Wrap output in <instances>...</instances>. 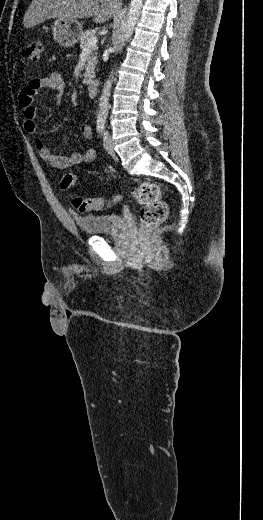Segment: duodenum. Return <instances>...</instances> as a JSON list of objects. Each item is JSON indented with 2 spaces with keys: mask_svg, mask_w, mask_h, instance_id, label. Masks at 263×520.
I'll return each instance as SVG.
<instances>
[{
  "mask_svg": "<svg viewBox=\"0 0 263 520\" xmlns=\"http://www.w3.org/2000/svg\"><path fill=\"white\" fill-rule=\"evenodd\" d=\"M98 92V83L96 80L88 81V94L90 97H95Z\"/></svg>",
  "mask_w": 263,
  "mask_h": 520,
  "instance_id": "410a0bca",
  "label": "duodenum"
}]
</instances>
